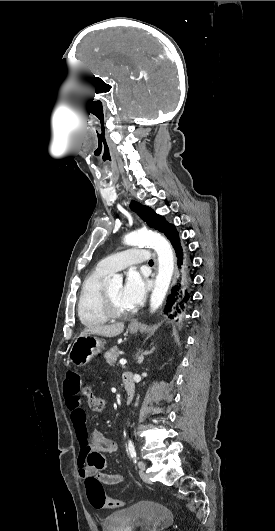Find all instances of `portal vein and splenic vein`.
Wrapping results in <instances>:
<instances>
[{
  "label": "portal vein and splenic vein",
  "mask_w": 275,
  "mask_h": 531,
  "mask_svg": "<svg viewBox=\"0 0 275 531\" xmlns=\"http://www.w3.org/2000/svg\"><path fill=\"white\" fill-rule=\"evenodd\" d=\"M119 363L120 365H126L127 361L126 359H120Z\"/></svg>",
  "instance_id": "portal-vein-and-splenic-vein-1"
}]
</instances>
